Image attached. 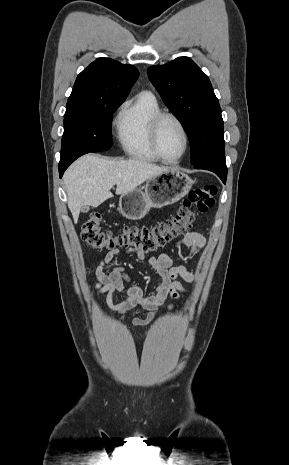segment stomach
I'll return each mask as SVG.
<instances>
[{
    "mask_svg": "<svg viewBox=\"0 0 289 465\" xmlns=\"http://www.w3.org/2000/svg\"><path fill=\"white\" fill-rule=\"evenodd\" d=\"M194 181L185 173L172 168L147 180L144 191L139 188L121 195L119 209L130 220L145 217L151 208H162L183 198Z\"/></svg>",
    "mask_w": 289,
    "mask_h": 465,
    "instance_id": "stomach-1",
    "label": "stomach"
}]
</instances>
